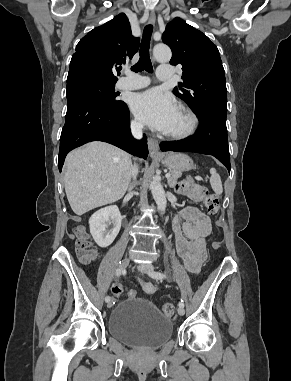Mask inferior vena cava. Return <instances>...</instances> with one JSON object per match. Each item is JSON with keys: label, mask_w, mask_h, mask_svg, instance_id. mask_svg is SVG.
Segmentation results:
<instances>
[{"label": "inferior vena cava", "mask_w": 291, "mask_h": 381, "mask_svg": "<svg viewBox=\"0 0 291 381\" xmlns=\"http://www.w3.org/2000/svg\"><path fill=\"white\" fill-rule=\"evenodd\" d=\"M142 130H143V125L141 123H138L136 121H133L131 123V132L136 139L142 138ZM137 173H138V168L137 166L134 165L132 167V176L134 179L136 178Z\"/></svg>", "instance_id": "obj_1"}]
</instances>
